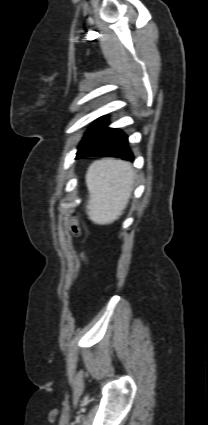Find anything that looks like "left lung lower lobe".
<instances>
[{"instance_id": "left-lung-lower-lobe-1", "label": "left lung lower lobe", "mask_w": 208, "mask_h": 425, "mask_svg": "<svg viewBox=\"0 0 208 425\" xmlns=\"http://www.w3.org/2000/svg\"><path fill=\"white\" fill-rule=\"evenodd\" d=\"M82 151L78 157L116 156L133 161L132 152L127 147V136L118 129L108 128L105 118L98 119L82 140Z\"/></svg>"}]
</instances>
